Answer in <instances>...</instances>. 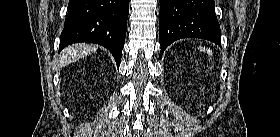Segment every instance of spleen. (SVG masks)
<instances>
[{
  "instance_id": "3e777b00",
  "label": "spleen",
  "mask_w": 280,
  "mask_h": 137,
  "mask_svg": "<svg viewBox=\"0 0 280 137\" xmlns=\"http://www.w3.org/2000/svg\"><path fill=\"white\" fill-rule=\"evenodd\" d=\"M203 50L205 51V47L203 48ZM207 53H211V51L208 49H206Z\"/></svg>"
}]
</instances>
